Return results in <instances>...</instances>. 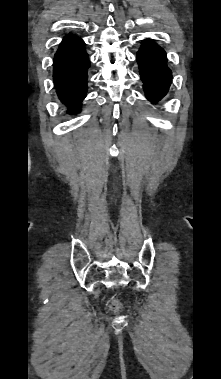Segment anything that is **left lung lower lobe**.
Listing matches in <instances>:
<instances>
[{
    "instance_id": "1",
    "label": "left lung lower lobe",
    "mask_w": 221,
    "mask_h": 379,
    "mask_svg": "<svg viewBox=\"0 0 221 379\" xmlns=\"http://www.w3.org/2000/svg\"><path fill=\"white\" fill-rule=\"evenodd\" d=\"M141 79L146 97L153 103L168 91L172 73L167 67L165 51L150 39L143 41L137 52Z\"/></svg>"
}]
</instances>
